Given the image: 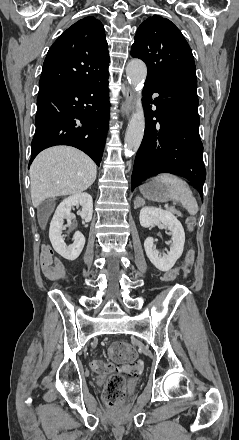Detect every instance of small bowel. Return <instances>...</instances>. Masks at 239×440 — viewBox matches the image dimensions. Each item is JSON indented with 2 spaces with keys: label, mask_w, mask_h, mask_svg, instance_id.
<instances>
[{
  "label": "small bowel",
  "mask_w": 239,
  "mask_h": 440,
  "mask_svg": "<svg viewBox=\"0 0 239 440\" xmlns=\"http://www.w3.org/2000/svg\"><path fill=\"white\" fill-rule=\"evenodd\" d=\"M41 267L44 275L52 280H66L67 272L60 258L54 255L53 250L49 246H45L41 252ZM184 275L188 274V269L183 268Z\"/></svg>",
  "instance_id": "obj_1"
}]
</instances>
